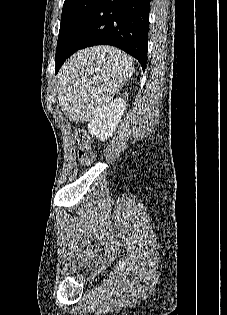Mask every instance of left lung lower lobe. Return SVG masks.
Listing matches in <instances>:
<instances>
[{"instance_id":"obj_1","label":"left lung lower lobe","mask_w":227,"mask_h":315,"mask_svg":"<svg viewBox=\"0 0 227 315\" xmlns=\"http://www.w3.org/2000/svg\"><path fill=\"white\" fill-rule=\"evenodd\" d=\"M150 0H100L79 25L64 49L56 54V73L76 51L112 45L147 64Z\"/></svg>"}]
</instances>
